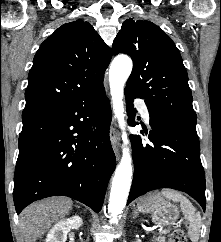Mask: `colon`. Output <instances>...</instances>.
I'll list each match as a JSON object with an SVG mask.
<instances>
[{"instance_id": "obj_1", "label": "colon", "mask_w": 221, "mask_h": 242, "mask_svg": "<svg viewBox=\"0 0 221 242\" xmlns=\"http://www.w3.org/2000/svg\"><path fill=\"white\" fill-rule=\"evenodd\" d=\"M169 242H188L186 231L183 228H176L171 233Z\"/></svg>"}]
</instances>
